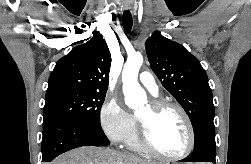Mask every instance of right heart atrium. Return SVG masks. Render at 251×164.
Instances as JSON below:
<instances>
[{
	"mask_svg": "<svg viewBox=\"0 0 251 164\" xmlns=\"http://www.w3.org/2000/svg\"><path fill=\"white\" fill-rule=\"evenodd\" d=\"M99 121L104 134L115 143L125 142L135 127L133 116L116 99L102 105Z\"/></svg>",
	"mask_w": 251,
	"mask_h": 164,
	"instance_id": "obj_1",
	"label": "right heart atrium"
}]
</instances>
